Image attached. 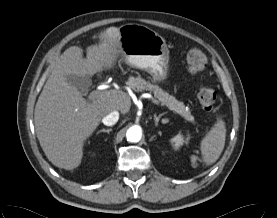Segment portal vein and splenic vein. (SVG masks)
I'll use <instances>...</instances> for the list:
<instances>
[{"label":"portal vein and splenic vein","instance_id":"1","mask_svg":"<svg viewBox=\"0 0 277 218\" xmlns=\"http://www.w3.org/2000/svg\"><path fill=\"white\" fill-rule=\"evenodd\" d=\"M99 90H102V88H100ZM100 94V91H93L90 93L89 98L90 100H95ZM147 98L151 99V101L156 104V105H160L159 101L156 100L153 96H151L150 94H147Z\"/></svg>","mask_w":277,"mask_h":218}]
</instances>
